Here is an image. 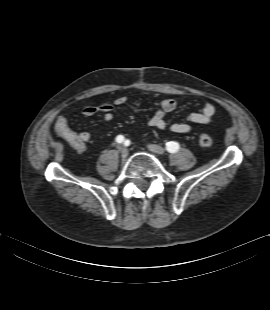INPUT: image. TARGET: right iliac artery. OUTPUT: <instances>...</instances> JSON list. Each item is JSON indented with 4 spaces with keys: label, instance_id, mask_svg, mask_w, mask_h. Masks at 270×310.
<instances>
[{
    "label": "right iliac artery",
    "instance_id": "1",
    "mask_svg": "<svg viewBox=\"0 0 270 310\" xmlns=\"http://www.w3.org/2000/svg\"><path fill=\"white\" fill-rule=\"evenodd\" d=\"M124 140H125V138L123 135H118L116 137V142H118V143H122V142H124Z\"/></svg>",
    "mask_w": 270,
    "mask_h": 310
}]
</instances>
